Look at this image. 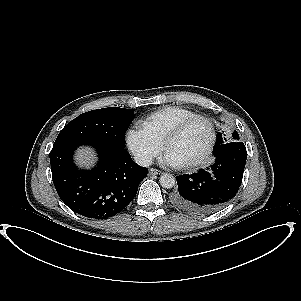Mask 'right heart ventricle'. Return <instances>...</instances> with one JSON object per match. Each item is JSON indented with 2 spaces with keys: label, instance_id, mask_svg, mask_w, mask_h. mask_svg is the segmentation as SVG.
Segmentation results:
<instances>
[{
  "label": "right heart ventricle",
  "instance_id": "obj_1",
  "mask_svg": "<svg viewBox=\"0 0 301 301\" xmlns=\"http://www.w3.org/2000/svg\"><path fill=\"white\" fill-rule=\"evenodd\" d=\"M193 116H196V113L191 110L166 107L146 117L141 124L153 138L161 142L176 125Z\"/></svg>",
  "mask_w": 301,
  "mask_h": 301
}]
</instances>
